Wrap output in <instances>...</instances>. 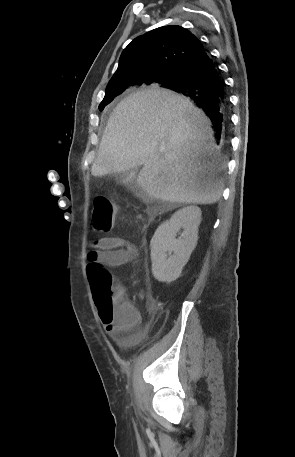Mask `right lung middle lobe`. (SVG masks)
<instances>
[{"label": "right lung middle lobe", "instance_id": "dd1d6c3e", "mask_svg": "<svg viewBox=\"0 0 295 457\" xmlns=\"http://www.w3.org/2000/svg\"><path fill=\"white\" fill-rule=\"evenodd\" d=\"M175 77L168 79L167 82L173 81L175 79ZM131 85L132 84H130V83H124V84H120V85L111 86L110 88H106L105 97L99 105V110L102 111L104 109V107L107 104H109L117 95L121 94L125 89H127ZM140 85H142V84H140Z\"/></svg>", "mask_w": 295, "mask_h": 457}]
</instances>
